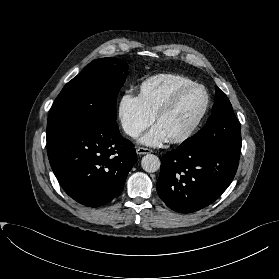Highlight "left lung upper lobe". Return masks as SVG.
Segmentation results:
<instances>
[{
	"instance_id": "5c2ea615",
	"label": "left lung upper lobe",
	"mask_w": 279,
	"mask_h": 279,
	"mask_svg": "<svg viewBox=\"0 0 279 279\" xmlns=\"http://www.w3.org/2000/svg\"><path fill=\"white\" fill-rule=\"evenodd\" d=\"M215 91L220 103L213 106V112L206 125L179 147L187 149L222 146L240 152L242 145L240 124L227 96L217 86Z\"/></svg>"
}]
</instances>
